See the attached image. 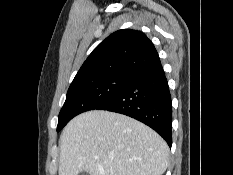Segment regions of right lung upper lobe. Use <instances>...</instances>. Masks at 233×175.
I'll return each mask as SVG.
<instances>
[{"instance_id": "obj_1", "label": "right lung upper lobe", "mask_w": 233, "mask_h": 175, "mask_svg": "<svg viewBox=\"0 0 233 175\" xmlns=\"http://www.w3.org/2000/svg\"><path fill=\"white\" fill-rule=\"evenodd\" d=\"M159 62L153 43L144 33L132 29L119 30L92 51L73 82L108 74L134 77Z\"/></svg>"}]
</instances>
